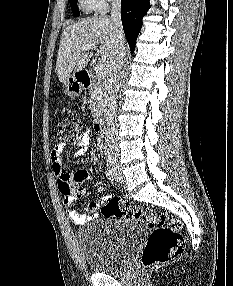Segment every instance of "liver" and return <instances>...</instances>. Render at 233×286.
I'll return each instance as SVG.
<instances>
[{
    "label": "liver",
    "mask_w": 233,
    "mask_h": 286,
    "mask_svg": "<svg viewBox=\"0 0 233 286\" xmlns=\"http://www.w3.org/2000/svg\"><path fill=\"white\" fill-rule=\"evenodd\" d=\"M99 44L101 60L108 70L115 57L116 44V28L111 18L94 16L66 27L56 62L59 81L65 82L72 72H79L87 66L93 53L81 51V46L96 47Z\"/></svg>",
    "instance_id": "obj_1"
}]
</instances>
